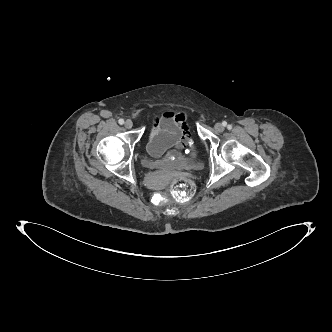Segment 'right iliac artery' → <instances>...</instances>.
Instances as JSON below:
<instances>
[{"mask_svg": "<svg viewBox=\"0 0 332 332\" xmlns=\"http://www.w3.org/2000/svg\"><path fill=\"white\" fill-rule=\"evenodd\" d=\"M118 122H119V124H121V125L124 124V120H123V119H119Z\"/></svg>", "mask_w": 332, "mask_h": 332, "instance_id": "obj_1", "label": "right iliac artery"}]
</instances>
